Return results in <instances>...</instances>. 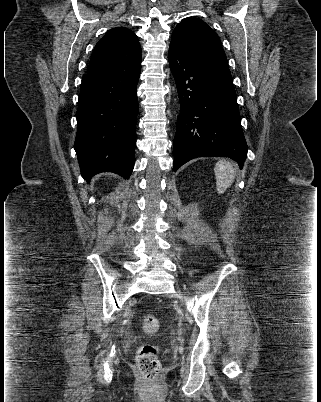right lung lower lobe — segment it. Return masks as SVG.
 Returning a JSON list of instances; mask_svg holds the SVG:
<instances>
[{"instance_id": "1", "label": "right lung lower lobe", "mask_w": 321, "mask_h": 402, "mask_svg": "<svg viewBox=\"0 0 321 402\" xmlns=\"http://www.w3.org/2000/svg\"><path fill=\"white\" fill-rule=\"evenodd\" d=\"M141 67L84 75L76 113L74 148L81 175L101 172L129 178L134 167L137 83Z\"/></svg>"}]
</instances>
